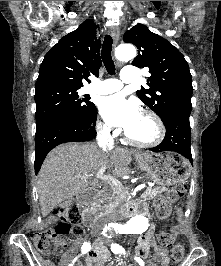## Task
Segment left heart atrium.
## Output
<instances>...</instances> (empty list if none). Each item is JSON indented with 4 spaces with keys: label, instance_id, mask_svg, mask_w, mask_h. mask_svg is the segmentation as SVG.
<instances>
[{
    "label": "left heart atrium",
    "instance_id": "39dd6f15",
    "mask_svg": "<svg viewBox=\"0 0 221 266\" xmlns=\"http://www.w3.org/2000/svg\"><path fill=\"white\" fill-rule=\"evenodd\" d=\"M100 113L107 124L130 130L141 118L139 104L118 93L102 99Z\"/></svg>",
    "mask_w": 221,
    "mask_h": 266
}]
</instances>
